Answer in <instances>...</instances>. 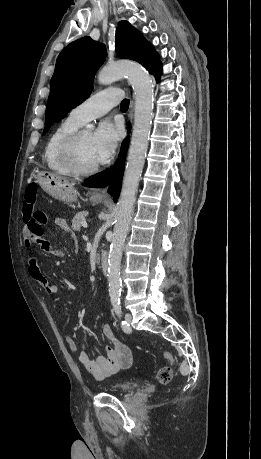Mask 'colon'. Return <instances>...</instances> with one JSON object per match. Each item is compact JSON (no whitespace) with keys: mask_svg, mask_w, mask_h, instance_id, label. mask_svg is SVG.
I'll use <instances>...</instances> for the list:
<instances>
[{"mask_svg":"<svg viewBox=\"0 0 261 459\" xmlns=\"http://www.w3.org/2000/svg\"><path fill=\"white\" fill-rule=\"evenodd\" d=\"M37 198V185L30 184L25 192V200L23 204V218L20 220V225L23 227L21 231L22 238H34L36 234H42L45 227L49 223V217L42 211L34 210ZM164 357L172 362L173 357L170 353L165 352ZM158 381L161 384H168L172 379V370L170 367H162L157 374Z\"/></svg>","mask_w":261,"mask_h":459,"instance_id":"obj_1","label":"colon"}]
</instances>
